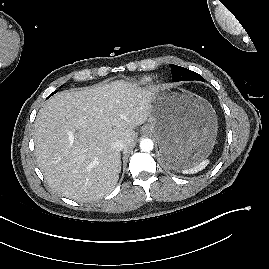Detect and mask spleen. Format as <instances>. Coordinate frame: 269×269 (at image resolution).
Masks as SVG:
<instances>
[{
    "label": "spleen",
    "mask_w": 269,
    "mask_h": 269,
    "mask_svg": "<svg viewBox=\"0 0 269 269\" xmlns=\"http://www.w3.org/2000/svg\"><path fill=\"white\" fill-rule=\"evenodd\" d=\"M208 164H209V160L208 159L203 160V161H201L200 163L194 165L191 168L184 169L183 170V173H189V174L190 173H196L198 171L203 170Z\"/></svg>",
    "instance_id": "3e777b00"
}]
</instances>
